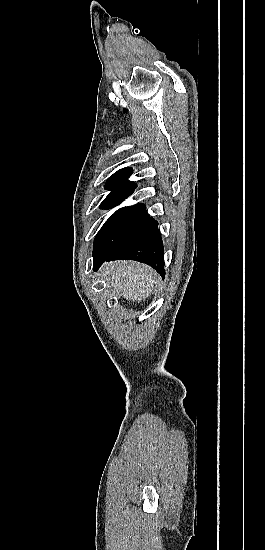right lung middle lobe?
Wrapping results in <instances>:
<instances>
[{
	"label": "right lung middle lobe",
	"mask_w": 265,
	"mask_h": 550,
	"mask_svg": "<svg viewBox=\"0 0 265 550\" xmlns=\"http://www.w3.org/2000/svg\"><path fill=\"white\" fill-rule=\"evenodd\" d=\"M134 189L111 192L101 203V209L119 205ZM146 214L144 204L124 207L116 211L102 226L94 240L93 254L105 253L116 246Z\"/></svg>",
	"instance_id": "1"
}]
</instances>
